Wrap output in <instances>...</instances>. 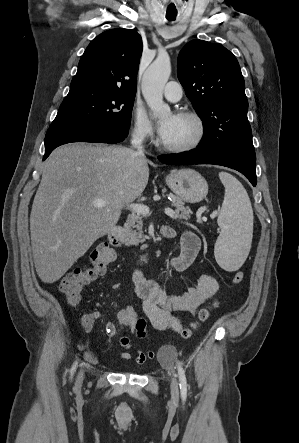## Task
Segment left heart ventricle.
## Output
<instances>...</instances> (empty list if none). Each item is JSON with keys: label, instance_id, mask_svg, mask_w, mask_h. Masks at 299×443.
Here are the masks:
<instances>
[{"label": "left heart ventricle", "instance_id": "b2bd125f", "mask_svg": "<svg viewBox=\"0 0 299 443\" xmlns=\"http://www.w3.org/2000/svg\"><path fill=\"white\" fill-rule=\"evenodd\" d=\"M195 133L196 127L191 120L177 116L174 126L162 140L169 145H183L190 142Z\"/></svg>", "mask_w": 299, "mask_h": 443}]
</instances>
